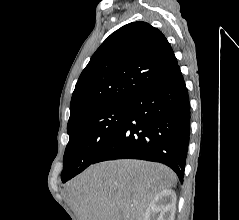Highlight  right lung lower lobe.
Listing matches in <instances>:
<instances>
[{"mask_svg":"<svg viewBox=\"0 0 239 220\" xmlns=\"http://www.w3.org/2000/svg\"><path fill=\"white\" fill-rule=\"evenodd\" d=\"M190 103L178 64L129 103L127 116L93 163L143 159L172 168L183 181Z\"/></svg>","mask_w":239,"mask_h":220,"instance_id":"obj_1","label":"right lung lower lobe"}]
</instances>
